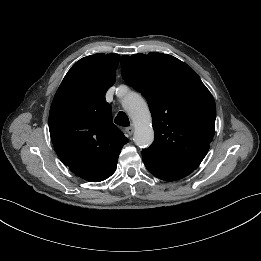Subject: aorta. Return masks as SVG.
<instances>
[{"instance_id": "obj_1", "label": "aorta", "mask_w": 261, "mask_h": 261, "mask_svg": "<svg viewBox=\"0 0 261 261\" xmlns=\"http://www.w3.org/2000/svg\"><path fill=\"white\" fill-rule=\"evenodd\" d=\"M122 106L129 114L134 127L133 140L139 147H148L154 141L152 118L145 100L137 93L129 92L122 99Z\"/></svg>"}]
</instances>
